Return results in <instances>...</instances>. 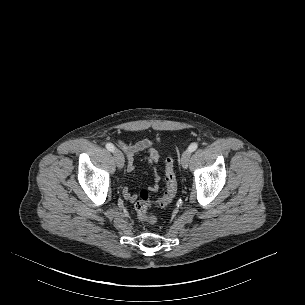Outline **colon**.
Instances as JSON below:
<instances>
[{"mask_svg": "<svg viewBox=\"0 0 305 305\" xmlns=\"http://www.w3.org/2000/svg\"><path fill=\"white\" fill-rule=\"evenodd\" d=\"M165 181L166 189L163 195L156 201L150 199V193L148 190L143 189L139 192L137 201L135 202V211L137 217L149 225H155L157 219L155 216L149 213V209L152 206L165 207L169 205L175 198L178 190L177 179L174 172V162L171 157L166 159L165 164Z\"/></svg>", "mask_w": 305, "mask_h": 305, "instance_id": "5ec220e1", "label": "colon"}]
</instances>
